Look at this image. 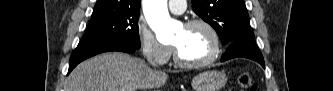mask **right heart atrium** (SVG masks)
<instances>
[{
	"label": "right heart atrium",
	"mask_w": 333,
	"mask_h": 91,
	"mask_svg": "<svg viewBox=\"0 0 333 91\" xmlns=\"http://www.w3.org/2000/svg\"><path fill=\"white\" fill-rule=\"evenodd\" d=\"M137 40L142 54L148 62L156 65H164L171 58L173 49L159 42L144 21H139L137 25Z\"/></svg>",
	"instance_id": "right-heart-atrium-1"
}]
</instances>
